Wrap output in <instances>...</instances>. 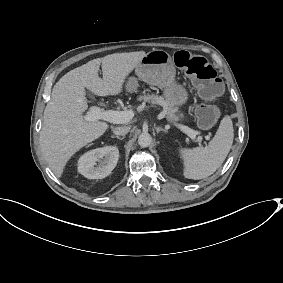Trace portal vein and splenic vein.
Returning a JSON list of instances; mask_svg holds the SVG:
<instances>
[{
  "label": "portal vein and splenic vein",
  "instance_id": "18ae733b",
  "mask_svg": "<svg viewBox=\"0 0 283 283\" xmlns=\"http://www.w3.org/2000/svg\"><path fill=\"white\" fill-rule=\"evenodd\" d=\"M134 117V112L132 110H126V111H113V110H107L103 111L99 107L92 106L87 113V115L84 117L86 121H96L99 119L114 123V124H122L127 123ZM180 130L185 133L188 137H190L192 140L195 139L196 135L200 134L199 131H195L188 126L180 125ZM206 140L210 139V136H205ZM202 140V137L199 136L197 138V141L200 142Z\"/></svg>",
  "mask_w": 283,
  "mask_h": 283
}]
</instances>
